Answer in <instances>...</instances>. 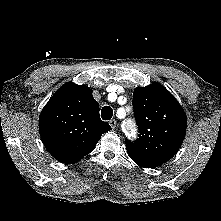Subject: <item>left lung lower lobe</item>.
Listing matches in <instances>:
<instances>
[{"label":"left lung lower lobe","mask_w":221,"mask_h":221,"mask_svg":"<svg viewBox=\"0 0 221 221\" xmlns=\"http://www.w3.org/2000/svg\"><path fill=\"white\" fill-rule=\"evenodd\" d=\"M141 167H145V168H154V167H150V166H146V165H142V164H138Z\"/></svg>","instance_id":"obj_1"}]
</instances>
